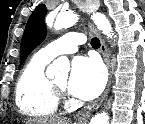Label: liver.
<instances>
[{"label": "liver", "instance_id": "1", "mask_svg": "<svg viewBox=\"0 0 145 124\" xmlns=\"http://www.w3.org/2000/svg\"><path fill=\"white\" fill-rule=\"evenodd\" d=\"M25 124H70L66 118H34L29 119Z\"/></svg>", "mask_w": 145, "mask_h": 124}]
</instances>
